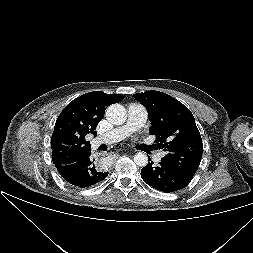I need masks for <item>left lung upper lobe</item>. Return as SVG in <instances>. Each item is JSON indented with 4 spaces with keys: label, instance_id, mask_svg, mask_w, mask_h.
Here are the masks:
<instances>
[{
    "label": "left lung upper lobe",
    "instance_id": "obj_1",
    "mask_svg": "<svg viewBox=\"0 0 253 253\" xmlns=\"http://www.w3.org/2000/svg\"><path fill=\"white\" fill-rule=\"evenodd\" d=\"M152 124L150 134L166 155L161 159L185 178L192 180L202 158L203 145L191 111L175 98L159 92L136 93Z\"/></svg>",
    "mask_w": 253,
    "mask_h": 253
}]
</instances>
